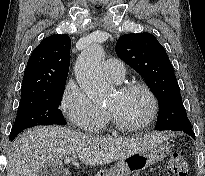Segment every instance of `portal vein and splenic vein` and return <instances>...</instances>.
<instances>
[{
    "mask_svg": "<svg viewBox=\"0 0 205 176\" xmlns=\"http://www.w3.org/2000/svg\"><path fill=\"white\" fill-rule=\"evenodd\" d=\"M70 161H71V158H70V157H67V158L64 160V163H65V164H68V163H70Z\"/></svg>",
    "mask_w": 205,
    "mask_h": 176,
    "instance_id": "1",
    "label": "portal vein and splenic vein"
}]
</instances>
